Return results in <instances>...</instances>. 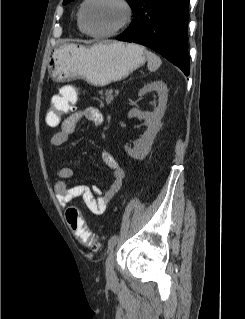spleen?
Here are the masks:
<instances>
[{"mask_svg":"<svg viewBox=\"0 0 245 319\" xmlns=\"http://www.w3.org/2000/svg\"><path fill=\"white\" fill-rule=\"evenodd\" d=\"M145 55H146L147 60H148V69L151 72L156 71L160 67V65L162 64L160 57H158L156 54H154L148 50H145Z\"/></svg>","mask_w":245,"mask_h":319,"instance_id":"spleen-1","label":"spleen"}]
</instances>
